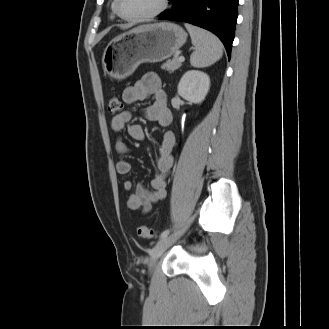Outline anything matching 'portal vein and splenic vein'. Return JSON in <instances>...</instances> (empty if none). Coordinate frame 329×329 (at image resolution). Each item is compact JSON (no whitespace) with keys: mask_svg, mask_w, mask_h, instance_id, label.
I'll return each instance as SVG.
<instances>
[{"mask_svg":"<svg viewBox=\"0 0 329 329\" xmlns=\"http://www.w3.org/2000/svg\"><path fill=\"white\" fill-rule=\"evenodd\" d=\"M184 60H185V58H184L183 56H180V57H179V61H180V62H184Z\"/></svg>","mask_w":329,"mask_h":329,"instance_id":"obj_1","label":"portal vein and splenic vein"}]
</instances>
